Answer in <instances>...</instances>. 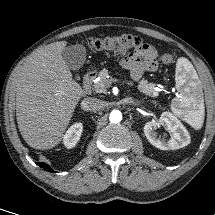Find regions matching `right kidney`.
Here are the masks:
<instances>
[{"instance_id": "1", "label": "right kidney", "mask_w": 215, "mask_h": 215, "mask_svg": "<svg viewBox=\"0 0 215 215\" xmlns=\"http://www.w3.org/2000/svg\"><path fill=\"white\" fill-rule=\"evenodd\" d=\"M83 130L82 123L73 124L63 136V143L67 148H73L79 141Z\"/></svg>"}]
</instances>
